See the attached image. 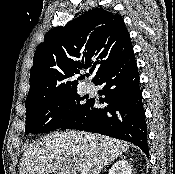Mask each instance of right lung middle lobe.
I'll return each instance as SVG.
<instances>
[{
    "mask_svg": "<svg viewBox=\"0 0 175 174\" xmlns=\"http://www.w3.org/2000/svg\"><path fill=\"white\" fill-rule=\"evenodd\" d=\"M80 97L77 88L51 94L26 105L25 133H48L64 128L76 119L89 100Z\"/></svg>",
    "mask_w": 175,
    "mask_h": 174,
    "instance_id": "dd1d6c3e",
    "label": "right lung middle lobe"
}]
</instances>
